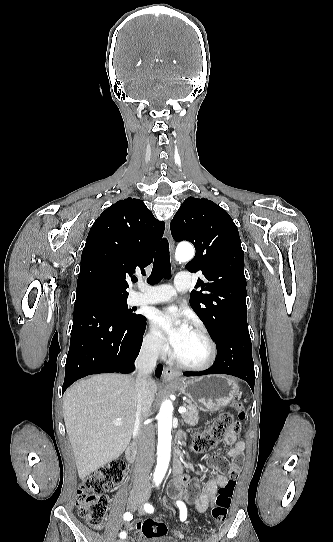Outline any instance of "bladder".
<instances>
[{"label":"bladder","mask_w":333,"mask_h":542,"mask_svg":"<svg viewBox=\"0 0 333 542\" xmlns=\"http://www.w3.org/2000/svg\"><path fill=\"white\" fill-rule=\"evenodd\" d=\"M145 542H179L171 535H155L148 536Z\"/></svg>","instance_id":"obj_1"}]
</instances>
